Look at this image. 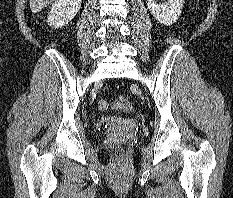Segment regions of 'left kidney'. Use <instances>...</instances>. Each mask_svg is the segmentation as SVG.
<instances>
[{"label": "left kidney", "mask_w": 233, "mask_h": 198, "mask_svg": "<svg viewBox=\"0 0 233 198\" xmlns=\"http://www.w3.org/2000/svg\"><path fill=\"white\" fill-rule=\"evenodd\" d=\"M183 4L184 0H167L162 4H158L155 0H147V6L152 16L167 26L178 20Z\"/></svg>", "instance_id": "1"}]
</instances>
